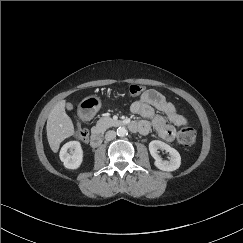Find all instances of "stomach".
Returning a JSON list of instances; mask_svg holds the SVG:
<instances>
[{
    "instance_id": "obj_1",
    "label": "stomach",
    "mask_w": 243,
    "mask_h": 243,
    "mask_svg": "<svg viewBox=\"0 0 243 243\" xmlns=\"http://www.w3.org/2000/svg\"><path fill=\"white\" fill-rule=\"evenodd\" d=\"M79 108L84 113L95 114L101 108V101L96 96H89L80 103Z\"/></svg>"
}]
</instances>
